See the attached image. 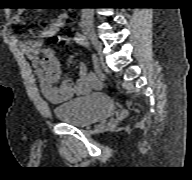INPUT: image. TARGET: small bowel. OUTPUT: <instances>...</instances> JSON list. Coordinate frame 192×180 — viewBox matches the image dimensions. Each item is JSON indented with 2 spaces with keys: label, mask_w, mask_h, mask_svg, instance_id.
I'll use <instances>...</instances> for the list:
<instances>
[{
  "label": "small bowel",
  "mask_w": 192,
  "mask_h": 180,
  "mask_svg": "<svg viewBox=\"0 0 192 180\" xmlns=\"http://www.w3.org/2000/svg\"><path fill=\"white\" fill-rule=\"evenodd\" d=\"M66 18L61 14L51 20L50 24L41 32L42 37H51L59 30ZM13 22H21V13L13 17ZM22 50L27 54L35 66L42 95L50 102L58 104L69 99L84 95L102 86L101 78L95 73H89L84 64L76 70V80L61 81L60 65L51 47H44L41 40L29 39L21 43Z\"/></svg>",
  "instance_id": "c3829d8e"
}]
</instances>
